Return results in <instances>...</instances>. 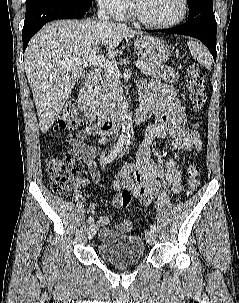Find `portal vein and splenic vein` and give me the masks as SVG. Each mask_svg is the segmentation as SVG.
I'll use <instances>...</instances> for the list:
<instances>
[{"label":"portal vein and splenic vein","mask_w":239,"mask_h":303,"mask_svg":"<svg viewBox=\"0 0 239 303\" xmlns=\"http://www.w3.org/2000/svg\"><path fill=\"white\" fill-rule=\"evenodd\" d=\"M96 53H97V50L95 48L92 50V52L90 53L89 56L83 57V58H77L74 60V62L77 64H80V65L84 64V65H93L96 67H100V68L105 69L111 75H113L117 78L120 77V71H119L118 67L115 64H113L112 62L108 61L107 59L96 56ZM135 65L140 68L148 67V65L145 62L140 61V60L136 61Z\"/></svg>","instance_id":"obj_1"}]
</instances>
